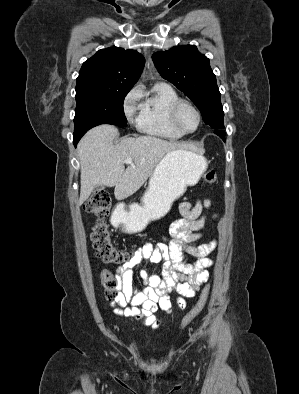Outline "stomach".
<instances>
[{
  "label": "stomach",
  "instance_id": "1",
  "mask_svg": "<svg viewBox=\"0 0 299 394\" xmlns=\"http://www.w3.org/2000/svg\"><path fill=\"white\" fill-rule=\"evenodd\" d=\"M206 168L205 158L198 153L183 148L168 152L150 177L141 203H133L128 211H122L120 221L124 231L140 232L149 222L166 215L172 203L184 194L187 186L198 182Z\"/></svg>",
  "mask_w": 299,
  "mask_h": 394
}]
</instances>
